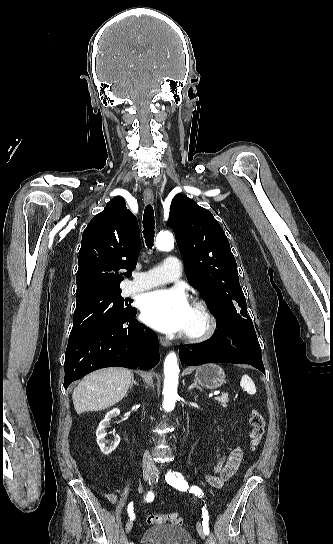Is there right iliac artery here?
<instances>
[{
	"label": "right iliac artery",
	"mask_w": 333,
	"mask_h": 544,
	"mask_svg": "<svg viewBox=\"0 0 333 544\" xmlns=\"http://www.w3.org/2000/svg\"><path fill=\"white\" fill-rule=\"evenodd\" d=\"M153 499H154V494L151 491L148 492L147 497H146V501L151 502V501H153ZM128 514H129L130 519L134 520L135 514L133 512V502L129 503V505H128Z\"/></svg>",
	"instance_id": "82829eb1"
}]
</instances>
